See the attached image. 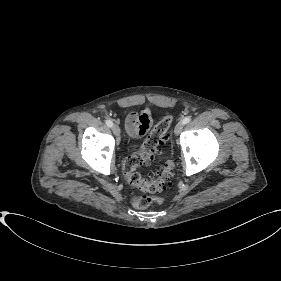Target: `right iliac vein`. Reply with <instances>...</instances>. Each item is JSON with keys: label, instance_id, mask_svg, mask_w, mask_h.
<instances>
[{"label": "right iliac vein", "instance_id": "63e3f726", "mask_svg": "<svg viewBox=\"0 0 281 281\" xmlns=\"http://www.w3.org/2000/svg\"><path fill=\"white\" fill-rule=\"evenodd\" d=\"M112 131H113V133H114L115 136H119V135H120V128H119L118 125L114 124V125L112 126Z\"/></svg>", "mask_w": 281, "mask_h": 281}]
</instances>
